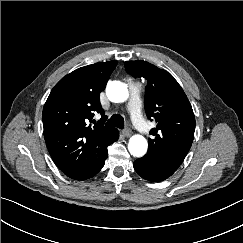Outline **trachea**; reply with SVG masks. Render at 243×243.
<instances>
[{"instance_id": "1", "label": "trachea", "mask_w": 243, "mask_h": 243, "mask_svg": "<svg viewBox=\"0 0 243 243\" xmlns=\"http://www.w3.org/2000/svg\"><path fill=\"white\" fill-rule=\"evenodd\" d=\"M106 125L114 126L120 129L124 128V119L122 116L115 114L107 122Z\"/></svg>"}]
</instances>
